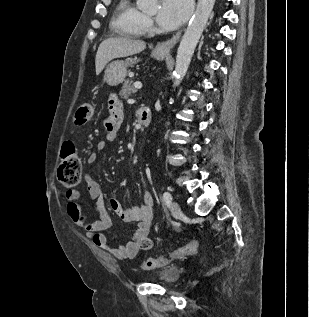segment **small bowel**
<instances>
[{"mask_svg":"<svg viewBox=\"0 0 309 317\" xmlns=\"http://www.w3.org/2000/svg\"><path fill=\"white\" fill-rule=\"evenodd\" d=\"M123 120L122 103L112 96L109 100V116L105 120V140L96 145V152H92L88 158V164H94L98 159V153L102 152L107 143H113L118 138V131ZM86 185L84 196L97 204L98 218L89 220L82 211V195L79 191L69 190L65 197L67 201L66 211L74 224L80 227L85 235L100 249L106 251L117 259H130L138 252L139 243L146 238L153 218L154 199L149 191L142 192L141 206L126 207L120 201L111 199L109 208L124 223H137L138 228L133 238L124 245L110 246L106 231L111 226V218L103 204V193L100 185L89 175H85Z\"/></svg>","mask_w":309,"mask_h":317,"instance_id":"small-bowel-1","label":"small bowel"}]
</instances>
